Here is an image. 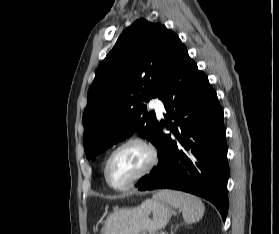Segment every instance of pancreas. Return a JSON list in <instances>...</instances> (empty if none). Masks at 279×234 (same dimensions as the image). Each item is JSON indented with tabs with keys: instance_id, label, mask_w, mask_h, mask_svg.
Here are the masks:
<instances>
[{
	"instance_id": "obj_1",
	"label": "pancreas",
	"mask_w": 279,
	"mask_h": 234,
	"mask_svg": "<svg viewBox=\"0 0 279 234\" xmlns=\"http://www.w3.org/2000/svg\"><path fill=\"white\" fill-rule=\"evenodd\" d=\"M149 234H155V233H151V232H150ZM156 234H161V233H156Z\"/></svg>"
}]
</instances>
